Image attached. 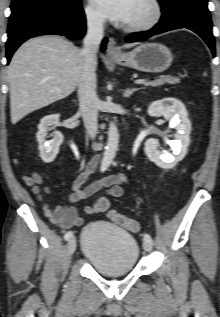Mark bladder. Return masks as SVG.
Instances as JSON below:
<instances>
[{"label":"bladder","instance_id":"bladder-1","mask_svg":"<svg viewBox=\"0 0 220 317\" xmlns=\"http://www.w3.org/2000/svg\"><path fill=\"white\" fill-rule=\"evenodd\" d=\"M81 255L99 273L116 276L131 273L140 257L135 237L111 224L91 222L82 232Z\"/></svg>","mask_w":220,"mask_h":317}]
</instances>
